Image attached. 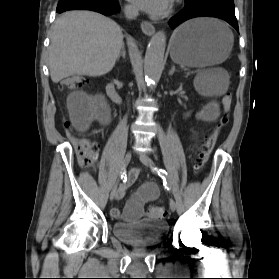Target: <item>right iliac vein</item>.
Instances as JSON below:
<instances>
[{
    "label": "right iliac vein",
    "mask_w": 279,
    "mask_h": 279,
    "mask_svg": "<svg viewBox=\"0 0 279 279\" xmlns=\"http://www.w3.org/2000/svg\"><path fill=\"white\" fill-rule=\"evenodd\" d=\"M131 160V152H128L124 159H123V162H122V166H121V172L120 174L122 175L123 172L125 171L126 167L128 166L129 162ZM118 184H119V179L118 181L116 182V184L113 186V188L111 189V192H110V199L113 200L117 194H118Z\"/></svg>",
    "instance_id": "obj_1"
}]
</instances>
